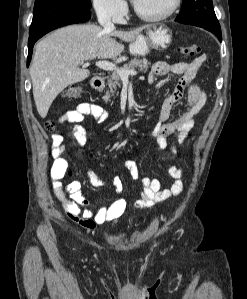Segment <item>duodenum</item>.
<instances>
[{"label":"duodenum","mask_w":247,"mask_h":299,"mask_svg":"<svg viewBox=\"0 0 247 299\" xmlns=\"http://www.w3.org/2000/svg\"><path fill=\"white\" fill-rule=\"evenodd\" d=\"M104 84V79L101 76H95L91 79L90 85L93 89H100Z\"/></svg>","instance_id":"obj_1"}]
</instances>
